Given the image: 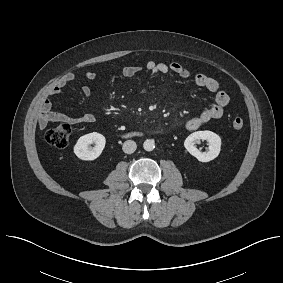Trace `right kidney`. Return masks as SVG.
<instances>
[{"label":"right kidney","mask_w":283,"mask_h":283,"mask_svg":"<svg viewBox=\"0 0 283 283\" xmlns=\"http://www.w3.org/2000/svg\"><path fill=\"white\" fill-rule=\"evenodd\" d=\"M92 143L95 144V147L90 149L89 145ZM105 143L106 139L102 134L92 132L78 139L74 146V153L81 160L92 161L100 156L105 147Z\"/></svg>","instance_id":"right-kidney-1"}]
</instances>
